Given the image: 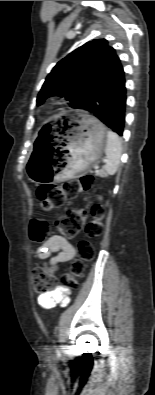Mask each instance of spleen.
I'll list each match as a JSON object with an SVG mask.
<instances>
[{"label":"spleen","instance_id":"obj_1","mask_svg":"<svg viewBox=\"0 0 155 395\" xmlns=\"http://www.w3.org/2000/svg\"><path fill=\"white\" fill-rule=\"evenodd\" d=\"M106 135L107 142L105 146V154L107 161L104 169L106 171V174L114 175L120 164L122 145L118 135L111 130H108Z\"/></svg>","mask_w":155,"mask_h":395}]
</instances>
